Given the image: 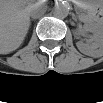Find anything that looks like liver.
Segmentation results:
<instances>
[{
	"instance_id": "obj_1",
	"label": "liver",
	"mask_w": 103,
	"mask_h": 103,
	"mask_svg": "<svg viewBox=\"0 0 103 103\" xmlns=\"http://www.w3.org/2000/svg\"><path fill=\"white\" fill-rule=\"evenodd\" d=\"M32 6L21 0L1 2L0 49L2 54H8L22 44L29 29Z\"/></svg>"
}]
</instances>
